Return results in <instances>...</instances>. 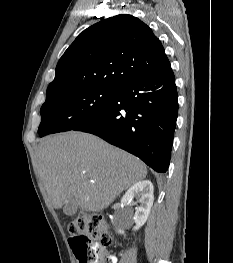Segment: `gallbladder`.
Masks as SVG:
<instances>
[{
	"label": "gallbladder",
	"mask_w": 233,
	"mask_h": 263,
	"mask_svg": "<svg viewBox=\"0 0 233 263\" xmlns=\"http://www.w3.org/2000/svg\"><path fill=\"white\" fill-rule=\"evenodd\" d=\"M63 212L67 216H73L77 212V205L73 198H70L63 208Z\"/></svg>",
	"instance_id": "bac80fb5"
}]
</instances>
